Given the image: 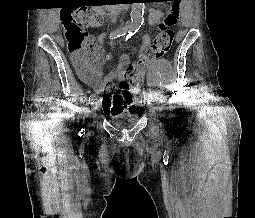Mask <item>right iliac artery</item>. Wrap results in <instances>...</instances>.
Instances as JSON below:
<instances>
[{
    "instance_id": "1",
    "label": "right iliac artery",
    "mask_w": 255,
    "mask_h": 218,
    "mask_svg": "<svg viewBox=\"0 0 255 218\" xmlns=\"http://www.w3.org/2000/svg\"><path fill=\"white\" fill-rule=\"evenodd\" d=\"M131 32V30L127 29V28H122V29H118V30H115L114 32H112L110 35H109V38L110 39H115V38H118L120 36H123L125 34H129ZM95 98V94H91V96L89 97V103H92V101L94 100Z\"/></svg>"
}]
</instances>
